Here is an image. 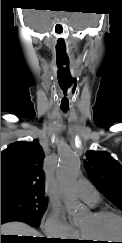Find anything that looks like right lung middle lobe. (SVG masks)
<instances>
[{
  "label": "right lung middle lobe",
  "instance_id": "obj_1",
  "mask_svg": "<svg viewBox=\"0 0 122 243\" xmlns=\"http://www.w3.org/2000/svg\"><path fill=\"white\" fill-rule=\"evenodd\" d=\"M47 207V199L34 195H10L1 197V209L20 211L41 221Z\"/></svg>",
  "mask_w": 122,
  "mask_h": 243
}]
</instances>
